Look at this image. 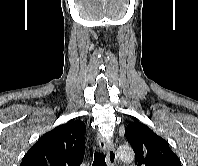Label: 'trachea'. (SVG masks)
<instances>
[{
  "mask_svg": "<svg viewBox=\"0 0 198 166\" xmlns=\"http://www.w3.org/2000/svg\"><path fill=\"white\" fill-rule=\"evenodd\" d=\"M92 166H107L105 162V155L103 153L95 151Z\"/></svg>",
  "mask_w": 198,
  "mask_h": 166,
  "instance_id": "1",
  "label": "trachea"
}]
</instances>
